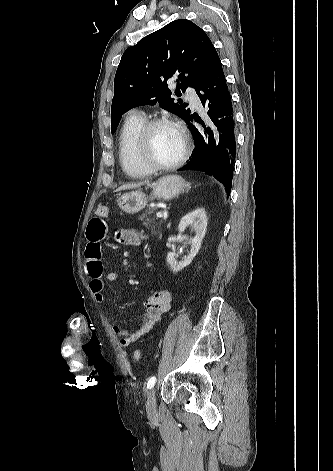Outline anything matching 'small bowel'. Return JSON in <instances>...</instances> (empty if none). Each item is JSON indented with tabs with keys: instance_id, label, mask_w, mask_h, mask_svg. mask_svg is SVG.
Instances as JSON below:
<instances>
[{
	"instance_id": "1",
	"label": "small bowel",
	"mask_w": 333,
	"mask_h": 471,
	"mask_svg": "<svg viewBox=\"0 0 333 471\" xmlns=\"http://www.w3.org/2000/svg\"><path fill=\"white\" fill-rule=\"evenodd\" d=\"M105 217L95 216L88 222L86 230L87 245L85 248V271L90 278V289L95 301L101 303L105 296L103 293L105 280L115 282L119 275L115 271L104 273L102 264L101 242L108 234V226ZM119 242L129 245H139V234L133 229H123L116 233ZM173 297L169 291L161 290L153 292L145 301L141 323L133 330H127L119 325H113V333L119 337L120 345L128 347L132 343L147 335L157 324L162 321L164 314L172 309Z\"/></svg>"
}]
</instances>
